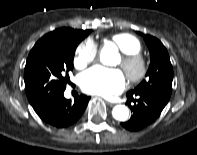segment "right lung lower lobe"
Returning a JSON list of instances; mask_svg holds the SVG:
<instances>
[{
    "label": "right lung lower lobe",
    "mask_w": 197,
    "mask_h": 155,
    "mask_svg": "<svg viewBox=\"0 0 197 155\" xmlns=\"http://www.w3.org/2000/svg\"><path fill=\"white\" fill-rule=\"evenodd\" d=\"M90 97L80 95L74 102L64 98L63 91L34 106L35 112L46 123L65 128L75 123L83 114Z\"/></svg>",
    "instance_id": "obj_1"
}]
</instances>
